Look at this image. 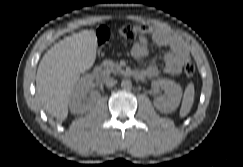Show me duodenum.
<instances>
[{
	"instance_id": "1",
	"label": "duodenum",
	"mask_w": 243,
	"mask_h": 167,
	"mask_svg": "<svg viewBox=\"0 0 243 167\" xmlns=\"http://www.w3.org/2000/svg\"><path fill=\"white\" fill-rule=\"evenodd\" d=\"M93 75L96 78V80H98V81L103 80V78L105 77V73H104L103 67L100 66V65H97L93 69Z\"/></svg>"
}]
</instances>
